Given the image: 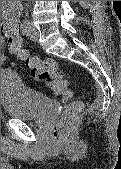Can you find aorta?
<instances>
[{"mask_svg": "<svg viewBox=\"0 0 121 169\" xmlns=\"http://www.w3.org/2000/svg\"><path fill=\"white\" fill-rule=\"evenodd\" d=\"M20 1H8L7 3V7L8 9H13V7H15L16 4H18Z\"/></svg>", "mask_w": 121, "mask_h": 169, "instance_id": "762f6f07", "label": "aorta"}]
</instances>
